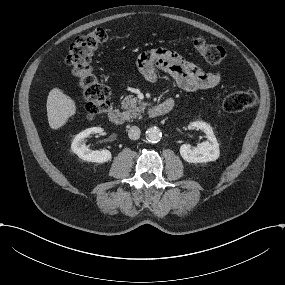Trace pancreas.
I'll return each mask as SVG.
<instances>
[{
	"label": "pancreas",
	"instance_id": "cf45deb5",
	"mask_svg": "<svg viewBox=\"0 0 285 285\" xmlns=\"http://www.w3.org/2000/svg\"><path fill=\"white\" fill-rule=\"evenodd\" d=\"M121 105L124 115L129 119H135L141 116V113L145 111L148 106L145 102L138 100L133 95H127L124 100L121 101Z\"/></svg>",
	"mask_w": 285,
	"mask_h": 285
}]
</instances>
